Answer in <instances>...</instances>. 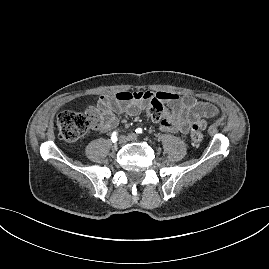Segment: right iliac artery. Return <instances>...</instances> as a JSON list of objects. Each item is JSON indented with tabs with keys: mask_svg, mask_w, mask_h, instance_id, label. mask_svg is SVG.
<instances>
[{
	"mask_svg": "<svg viewBox=\"0 0 269 269\" xmlns=\"http://www.w3.org/2000/svg\"><path fill=\"white\" fill-rule=\"evenodd\" d=\"M117 132L116 131H114L113 133H112V135H111V140H112V142L113 143H115L116 141H117Z\"/></svg>",
	"mask_w": 269,
	"mask_h": 269,
	"instance_id": "right-iliac-artery-1",
	"label": "right iliac artery"
}]
</instances>
